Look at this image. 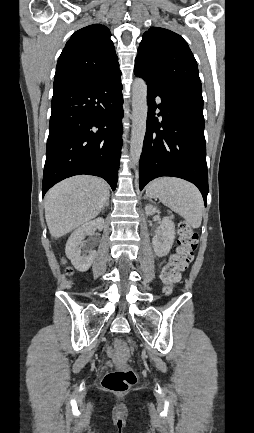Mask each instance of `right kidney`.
Instances as JSON below:
<instances>
[{"label":"right kidney","instance_id":"1","mask_svg":"<svg viewBox=\"0 0 254 433\" xmlns=\"http://www.w3.org/2000/svg\"><path fill=\"white\" fill-rule=\"evenodd\" d=\"M104 223L103 218H97L86 222L70 235L66 243L65 253L78 271L86 272L91 267L96 256L95 250L84 247L85 237L90 235L93 230H102Z\"/></svg>","mask_w":254,"mask_h":433}]
</instances>
